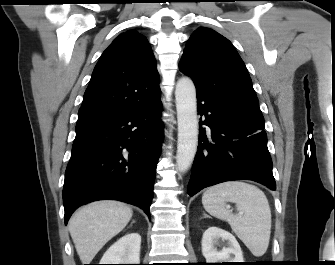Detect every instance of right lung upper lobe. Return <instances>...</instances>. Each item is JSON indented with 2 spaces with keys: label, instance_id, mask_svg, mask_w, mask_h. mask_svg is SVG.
I'll return each instance as SVG.
<instances>
[{
  "label": "right lung upper lobe",
  "instance_id": "obj_1",
  "mask_svg": "<svg viewBox=\"0 0 335 265\" xmlns=\"http://www.w3.org/2000/svg\"><path fill=\"white\" fill-rule=\"evenodd\" d=\"M160 98L156 61L147 39L136 31L119 35L96 64L77 124L110 118Z\"/></svg>",
  "mask_w": 335,
  "mask_h": 265
}]
</instances>
